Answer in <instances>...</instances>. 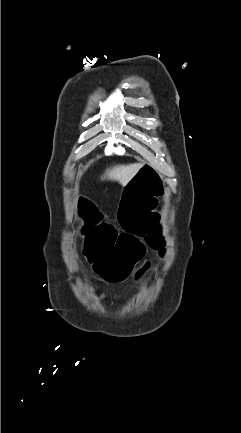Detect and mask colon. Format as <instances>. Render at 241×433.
<instances>
[{"mask_svg": "<svg viewBox=\"0 0 241 433\" xmlns=\"http://www.w3.org/2000/svg\"><path fill=\"white\" fill-rule=\"evenodd\" d=\"M137 172L129 178L121 189V200H118L120 225L123 230H117L110 220H105V212H97V205L92 204L90 197L76 195L78 203L84 212L78 213L79 221H89L80 231L86 238L81 239L88 265L95 272H101L109 282L124 281L132 272L136 263L144 256V245L139 239L142 236L153 249L160 250L166 245V240L159 236L160 226L168 225L167 217H157L159 209L157 201L168 194V184L162 180L158 168H153L152 162L137 166ZM127 231V232H126ZM146 263L144 268L147 269ZM139 277L147 275V270L139 268Z\"/></svg>", "mask_w": 241, "mask_h": 433, "instance_id": "colon-1", "label": "colon"}]
</instances>
